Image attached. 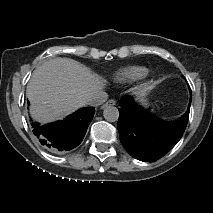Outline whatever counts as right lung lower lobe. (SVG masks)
I'll return each mask as SVG.
<instances>
[{"label": "right lung lower lobe", "mask_w": 213, "mask_h": 213, "mask_svg": "<svg viewBox=\"0 0 213 213\" xmlns=\"http://www.w3.org/2000/svg\"><path fill=\"white\" fill-rule=\"evenodd\" d=\"M95 109L82 108L63 121L41 126L33 122V133L41 144L52 148L53 150H71L83 140L86 130L93 118Z\"/></svg>", "instance_id": "98d812e1"}]
</instances>
